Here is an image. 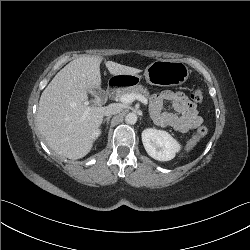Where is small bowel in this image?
<instances>
[{"label":"small bowel","instance_id":"c3829d8e","mask_svg":"<svg viewBox=\"0 0 250 250\" xmlns=\"http://www.w3.org/2000/svg\"><path fill=\"white\" fill-rule=\"evenodd\" d=\"M169 109L164 110L165 104ZM151 116L161 126H169L180 133L199 127L203 120L196 106L183 92L162 91L151 100Z\"/></svg>","mask_w":250,"mask_h":250}]
</instances>
